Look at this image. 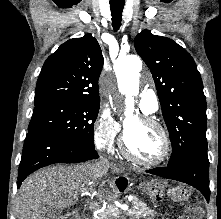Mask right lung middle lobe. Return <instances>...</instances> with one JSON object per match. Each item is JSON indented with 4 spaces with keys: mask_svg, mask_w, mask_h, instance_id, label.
Masks as SVG:
<instances>
[{
    "mask_svg": "<svg viewBox=\"0 0 221 219\" xmlns=\"http://www.w3.org/2000/svg\"><path fill=\"white\" fill-rule=\"evenodd\" d=\"M34 104L28 131H44L76 144L95 148L94 122L100 102L46 100Z\"/></svg>",
    "mask_w": 221,
    "mask_h": 219,
    "instance_id": "right-lung-middle-lobe-1",
    "label": "right lung middle lobe"
}]
</instances>
